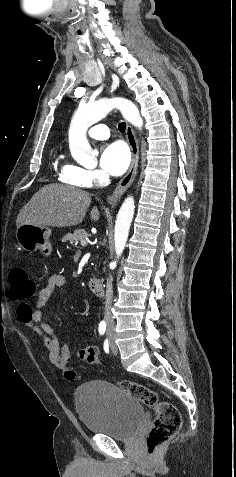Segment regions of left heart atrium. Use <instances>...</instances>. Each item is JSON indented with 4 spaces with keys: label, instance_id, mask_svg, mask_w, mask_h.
Wrapping results in <instances>:
<instances>
[{
    "label": "left heart atrium",
    "instance_id": "obj_1",
    "mask_svg": "<svg viewBox=\"0 0 236 477\" xmlns=\"http://www.w3.org/2000/svg\"><path fill=\"white\" fill-rule=\"evenodd\" d=\"M130 152L127 146L120 142L107 145L101 154L102 168L112 176L122 175L130 163Z\"/></svg>",
    "mask_w": 236,
    "mask_h": 477
}]
</instances>
